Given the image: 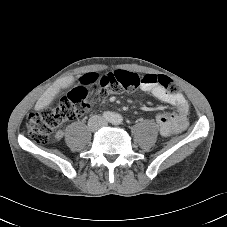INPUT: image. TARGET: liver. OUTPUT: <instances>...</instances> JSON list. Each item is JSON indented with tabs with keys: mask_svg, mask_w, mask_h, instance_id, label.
<instances>
[{
	"mask_svg": "<svg viewBox=\"0 0 227 227\" xmlns=\"http://www.w3.org/2000/svg\"><path fill=\"white\" fill-rule=\"evenodd\" d=\"M74 82L75 77L73 76L64 77L55 81L53 85L47 88L45 92L41 95V97L38 99L35 105V110L39 111L48 107L61 89L69 87Z\"/></svg>",
	"mask_w": 227,
	"mask_h": 227,
	"instance_id": "6515ba94",
	"label": "liver"
}]
</instances>
